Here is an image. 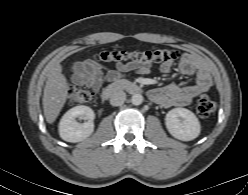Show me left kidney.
Instances as JSON below:
<instances>
[{"label":"left kidney","instance_id":"5707ae66","mask_svg":"<svg viewBox=\"0 0 248 195\" xmlns=\"http://www.w3.org/2000/svg\"><path fill=\"white\" fill-rule=\"evenodd\" d=\"M168 132L181 141H191L197 138L201 126L196 115L186 108H174L165 117Z\"/></svg>","mask_w":248,"mask_h":195}]
</instances>
